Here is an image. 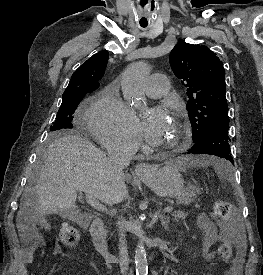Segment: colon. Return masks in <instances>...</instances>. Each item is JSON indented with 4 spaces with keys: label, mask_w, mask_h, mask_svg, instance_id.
<instances>
[{
    "label": "colon",
    "mask_w": 263,
    "mask_h": 275,
    "mask_svg": "<svg viewBox=\"0 0 263 275\" xmlns=\"http://www.w3.org/2000/svg\"><path fill=\"white\" fill-rule=\"evenodd\" d=\"M213 218L222 224H228L232 217V207L226 201H217L214 205ZM60 240L62 243L68 247H75L80 240L79 231L72 225L63 223L59 231ZM218 254L223 260H228L232 255V246L230 242H223L219 249ZM238 271L236 269H231L226 275H237Z\"/></svg>",
    "instance_id": "colon-1"
}]
</instances>
